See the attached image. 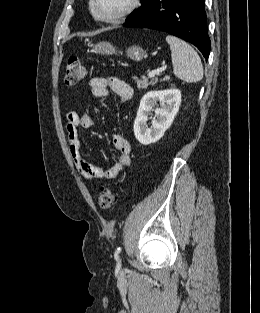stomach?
Wrapping results in <instances>:
<instances>
[{
    "label": "stomach",
    "mask_w": 260,
    "mask_h": 313,
    "mask_svg": "<svg viewBox=\"0 0 260 313\" xmlns=\"http://www.w3.org/2000/svg\"><path fill=\"white\" fill-rule=\"evenodd\" d=\"M91 47V52L101 54V55H112V54H117L116 47H114L111 43L109 42H100L97 44H90L88 45ZM126 55L135 60V61H140L143 58L147 57L146 51H144L141 47L139 46H132L129 47L126 50Z\"/></svg>",
    "instance_id": "stomach-1"
}]
</instances>
